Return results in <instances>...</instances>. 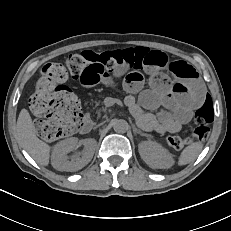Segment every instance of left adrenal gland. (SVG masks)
Listing matches in <instances>:
<instances>
[{"mask_svg": "<svg viewBox=\"0 0 231 231\" xmlns=\"http://www.w3.org/2000/svg\"><path fill=\"white\" fill-rule=\"evenodd\" d=\"M134 134H140L141 136H149L146 133H143L141 130L137 129L136 127H134L133 129Z\"/></svg>", "mask_w": 231, "mask_h": 231, "instance_id": "obj_1", "label": "left adrenal gland"}]
</instances>
